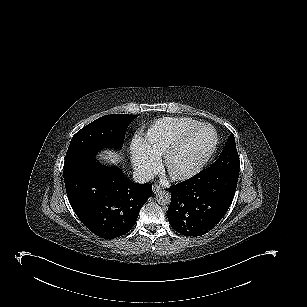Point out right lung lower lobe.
<instances>
[{
  "mask_svg": "<svg viewBox=\"0 0 307 307\" xmlns=\"http://www.w3.org/2000/svg\"><path fill=\"white\" fill-rule=\"evenodd\" d=\"M90 154L66 156L64 181L68 200L81 222L104 238H116L134 226L152 185L136 184L122 173L89 167Z\"/></svg>",
  "mask_w": 307,
  "mask_h": 307,
  "instance_id": "obj_1",
  "label": "right lung lower lobe"
}]
</instances>
